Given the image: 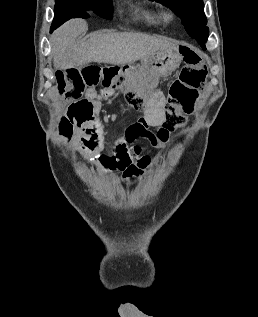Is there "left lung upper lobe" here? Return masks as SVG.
Listing matches in <instances>:
<instances>
[{"label":"left lung upper lobe","mask_w":258,"mask_h":317,"mask_svg":"<svg viewBox=\"0 0 258 317\" xmlns=\"http://www.w3.org/2000/svg\"><path fill=\"white\" fill-rule=\"evenodd\" d=\"M154 1V0H152ZM169 7L182 20L184 28L192 37L208 36L203 0H156Z\"/></svg>","instance_id":"5c2ea615"}]
</instances>
